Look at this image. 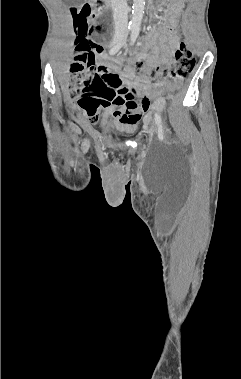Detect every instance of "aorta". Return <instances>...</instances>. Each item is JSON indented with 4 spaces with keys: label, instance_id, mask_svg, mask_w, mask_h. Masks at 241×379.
I'll return each instance as SVG.
<instances>
[{
    "label": "aorta",
    "instance_id": "obj_1",
    "mask_svg": "<svg viewBox=\"0 0 241 379\" xmlns=\"http://www.w3.org/2000/svg\"><path fill=\"white\" fill-rule=\"evenodd\" d=\"M145 1L133 0L132 19L130 22V28L133 32L139 31L140 24L144 14Z\"/></svg>",
    "mask_w": 241,
    "mask_h": 379
}]
</instances>
